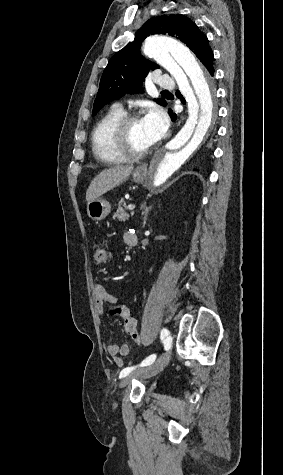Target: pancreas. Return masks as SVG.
Returning a JSON list of instances; mask_svg holds the SVG:
<instances>
[{
    "instance_id": "cf45deb5",
    "label": "pancreas",
    "mask_w": 283,
    "mask_h": 475,
    "mask_svg": "<svg viewBox=\"0 0 283 475\" xmlns=\"http://www.w3.org/2000/svg\"><path fill=\"white\" fill-rule=\"evenodd\" d=\"M124 208H126V204L123 198H121L120 202H118V210L115 212L113 220H119V222H126V220H129L130 214H128Z\"/></svg>"
}]
</instances>
